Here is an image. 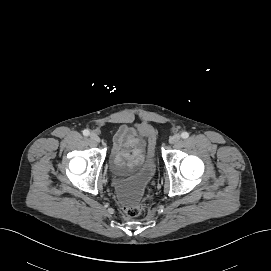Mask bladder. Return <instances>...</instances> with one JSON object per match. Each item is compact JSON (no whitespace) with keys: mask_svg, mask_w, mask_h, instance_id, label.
<instances>
[{"mask_svg":"<svg viewBox=\"0 0 271 271\" xmlns=\"http://www.w3.org/2000/svg\"><path fill=\"white\" fill-rule=\"evenodd\" d=\"M156 172V164L153 153H149L142 166L126 179H120L116 175L112 179V187L116 198L125 205L137 203L146 187L153 180Z\"/></svg>","mask_w":271,"mask_h":271,"instance_id":"31cf9c89","label":"bladder"}]
</instances>
